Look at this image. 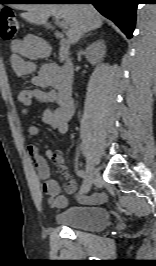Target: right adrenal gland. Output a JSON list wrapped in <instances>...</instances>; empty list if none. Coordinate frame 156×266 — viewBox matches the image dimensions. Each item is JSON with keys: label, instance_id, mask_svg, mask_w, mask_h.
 Masks as SVG:
<instances>
[{"label": "right adrenal gland", "instance_id": "2a0ac1e0", "mask_svg": "<svg viewBox=\"0 0 156 266\" xmlns=\"http://www.w3.org/2000/svg\"><path fill=\"white\" fill-rule=\"evenodd\" d=\"M91 34H93V33H89V34L85 35L84 37H87V36H89V35H91ZM84 37H83V38H84Z\"/></svg>", "mask_w": 156, "mask_h": 266}]
</instances>
